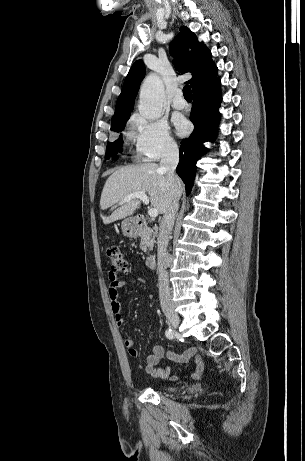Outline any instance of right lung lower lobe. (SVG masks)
I'll return each mask as SVG.
<instances>
[{"label":"right lung lower lobe","instance_id":"98d812e1","mask_svg":"<svg viewBox=\"0 0 305 461\" xmlns=\"http://www.w3.org/2000/svg\"><path fill=\"white\" fill-rule=\"evenodd\" d=\"M215 75L193 89V104L190 120L194 124L191 136L184 139L180 146V161L176 172L186 185V194L192 189L196 171V162L206 153L203 143L214 140L217 133L222 100L220 80Z\"/></svg>","mask_w":305,"mask_h":461}]
</instances>
